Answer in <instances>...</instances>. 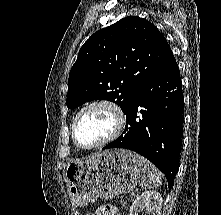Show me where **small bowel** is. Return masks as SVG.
<instances>
[{
  "instance_id": "small-bowel-1",
  "label": "small bowel",
  "mask_w": 221,
  "mask_h": 215,
  "mask_svg": "<svg viewBox=\"0 0 221 215\" xmlns=\"http://www.w3.org/2000/svg\"><path fill=\"white\" fill-rule=\"evenodd\" d=\"M85 215H121L119 210L110 205L99 207L95 212H89Z\"/></svg>"
}]
</instances>
